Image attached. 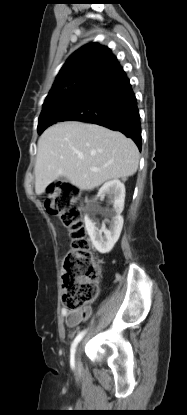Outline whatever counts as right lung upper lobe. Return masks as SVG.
Here are the masks:
<instances>
[{
    "label": "right lung upper lobe",
    "instance_id": "obj_1",
    "mask_svg": "<svg viewBox=\"0 0 187 415\" xmlns=\"http://www.w3.org/2000/svg\"><path fill=\"white\" fill-rule=\"evenodd\" d=\"M114 60H116V57L111 53V50L98 43L84 45L75 51L57 75L45 99L43 109L49 108L56 101L70 93L79 81Z\"/></svg>",
    "mask_w": 187,
    "mask_h": 415
}]
</instances>
